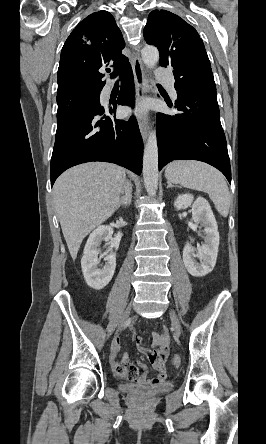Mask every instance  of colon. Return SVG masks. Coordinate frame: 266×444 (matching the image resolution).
I'll use <instances>...</instances> for the list:
<instances>
[{"label": "colon", "mask_w": 266, "mask_h": 444, "mask_svg": "<svg viewBox=\"0 0 266 444\" xmlns=\"http://www.w3.org/2000/svg\"><path fill=\"white\" fill-rule=\"evenodd\" d=\"M171 363L174 367H178L180 365V358L177 355L172 356Z\"/></svg>", "instance_id": "5ec220e1"}]
</instances>
